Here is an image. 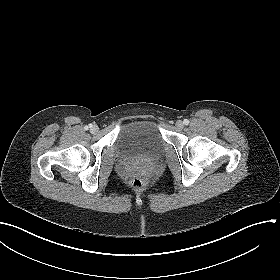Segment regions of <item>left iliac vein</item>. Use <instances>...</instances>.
I'll return each instance as SVG.
<instances>
[{"instance_id": "1", "label": "left iliac vein", "mask_w": 280, "mask_h": 280, "mask_svg": "<svg viewBox=\"0 0 280 280\" xmlns=\"http://www.w3.org/2000/svg\"><path fill=\"white\" fill-rule=\"evenodd\" d=\"M175 125L178 129H182L184 127V123L181 120H178Z\"/></svg>"}]
</instances>
